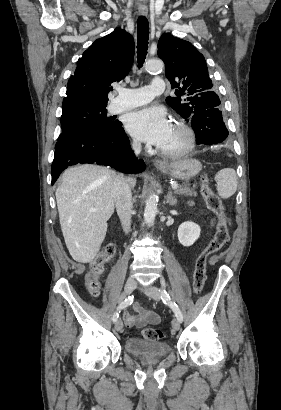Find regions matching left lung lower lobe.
<instances>
[{"instance_id": "1", "label": "left lung lower lobe", "mask_w": 281, "mask_h": 410, "mask_svg": "<svg viewBox=\"0 0 281 410\" xmlns=\"http://www.w3.org/2000/svg\"><path fill=\"white\" fill-rule=\"evenodd\" d=\"M189 120L195 132L197 144L211 145L221 143L228 136V130L223 122L222 112L219 108L195 112Z\"/></svg>"}]
</instances>
